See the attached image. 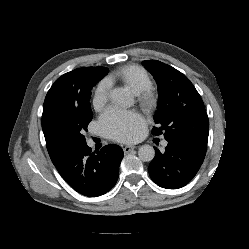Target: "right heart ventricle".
<instances>
[{"instance_id":"right-heart-ventricle-1","label":"right heart ventricle","mask_w":249,"mask_h":249,"mask_svg":"<svg viewBox=\"0 0 249 249\" xmlns=\"http://www.w3.org/2000/svg\"><path fill=\"white\" fill-rule=\"evenodd\" d=\"M110 80L122 82L137 95L153 84L150 74L138 65H127L116 70L111 74Z\"/></svg>"}]
</instances>
